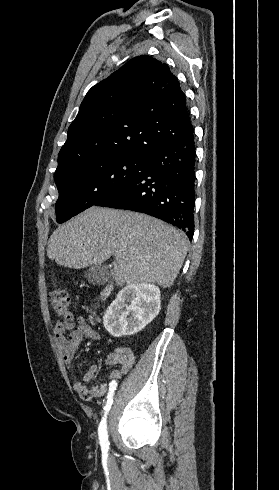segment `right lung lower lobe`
Masks as SVG:
<instances>
[{"mask_svg":"<svg viewBox=\"0 0 279 490\" xmlns=\"http://www.w3.org/2000/svg\"><path fill=\"white\" fill-rule=\"evenodd\" d=\"M141 176L108 194L95 206L138 211L164 220L191 239L194 234V135L147 159Z\"/></svg>","mask_w":279,"mask_h":490,"instance_id":"right-lung-lower-lobe-1","label":"right lung lower lobe"}]
</instances>
